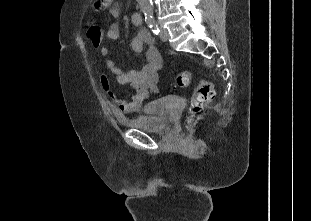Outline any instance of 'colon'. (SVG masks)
Wrapping results in <instances>:
<instances>
[{
    "label": "colon",
    "mask_w": 311,
    "mask_h": 221,
    "mask_svg": "<svg viewBox=\"0 0 311 221\" xmlns=\"http://www.w3.org/2000/svg\"><path fill=\"white\" fill-rule=\"evenodd\" d=\"M87 35L92 46L95 49L102 47L103 29L101 25L89 23ZM190 84V72L188 70L181 72L175 79L176 87H187ZM215 92L212 85L207 81H200L190 103L191 117L189 121L194 120L197 113L202 111L204 107L212 101Z\"/></svg>",
    "instance_id": "5ec220e1"
}]
</instances>
